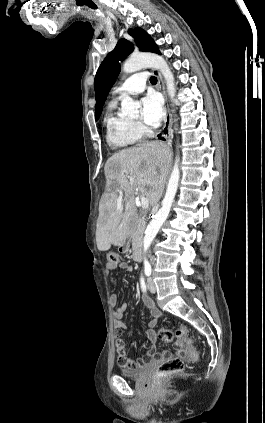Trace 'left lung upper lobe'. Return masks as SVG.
<instances>
[{"label":"left lung upper lobe","mask_w":265,"mask_h":423,"mask_svg":"<svg viewBox=\"0 0 265 423\" xmlns=\"http://www.w3.org/2000/svg\"><path fill=\"white\" fill-rule=\"evenodd\" d=\"M128 33L135 39L138 48L145 52L160 53L157 45L143 29L137 27L130 29ZM134 50V45L126 39H120L115 49L110 52L101 63L94 80L96 115L98 120L108 92L120 72V61Z\"/></svg>","instance_id":"left-lung-upper-lobe-1"}]
</instances>
